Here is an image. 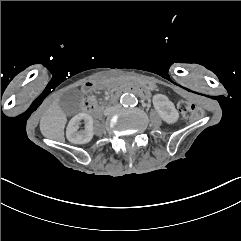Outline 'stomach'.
Here are the masks:
<instances>
[{"label": "stomach", "mask_w": 241, "mask_h": 241, "mask_svg": "<svg viewBox=\"0 0 241 241\" xmlns=\"http://www.w3.org/2000/svg\"><path fill=\"white\" fill-rule=\"evenodd\" d=\"M112 83L114 85H122V84H137L142 87L148 88L150 90L155 88V83L154 81L146 78H140L132 75H126V74H118L114 76L111 79Z\"/></svg>", "instance_id": "stomach-1"}]
</instances>
